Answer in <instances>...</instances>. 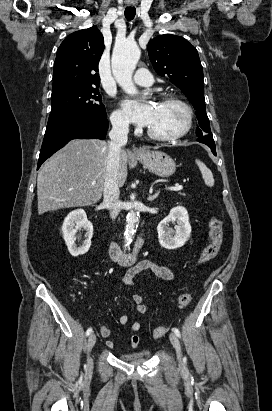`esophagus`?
Listing matches in <instances>:
<instances>
[{
	"label": "esophagus",
	"mask_w": 272,
	"mask_h": 411,
	"mask_svg": "<svg viewBox=\"0 0 272 411\" xmlns=\"http://www.w3.org/2000/svg\"><path fill=\"white\" fill-rule=\"evenodd\" d=\"M132 153H133L134 155H141V154L143 153V151H142L141 148L133 147V148H132Z\"/></svg>",
	"instance_id": "1"
}]
</instances>
